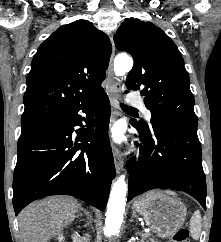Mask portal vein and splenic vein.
<instances>
[{"mask_svg": "<svg viewBox=\"0 0 221 242\" xmlns=\"http://www.w3.org/2000/svg\"><path fill=\"white\" fill-rule=\"evenodd\" d=\"M144 231H145V233L142 234V237H147V236L150 235V233H149L150 230L149 229H145Z\"/></svg>", "mask_w": 221, "mask_h": 242, "instance_id": "1", "label": "portal vein and splenic vein"}]
</instances>
